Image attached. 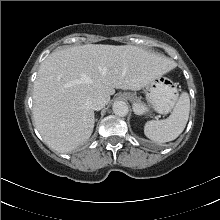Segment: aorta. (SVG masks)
<instances>
[{
    "label": "aorta",
    "instance_id": "1",
    "mask_svg": "<svg viewBox=\"0 0 220 220\" xmlns=\"http://www.w3.org/2000/svg\"><path fill=\"white\" fill-rule=\"evenodd\" d=\"M112 109L114 114L120 117L126 116L129 112L128 105L124 101H115L113 103Z\"/></svg>",
    "mask_w": 220,
    "mask_h": 220
}]
</instances>
